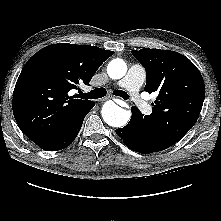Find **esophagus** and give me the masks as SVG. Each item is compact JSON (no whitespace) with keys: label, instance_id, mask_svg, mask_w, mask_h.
<instances>
[{"label":"esophagus","instance_id":"34e87169","mask_svg":"<svg viewBox=\"0 0 221 221\" xmlns=\"http://www.w3.org/2000/svg\"><path fill=\"white\" fill-rule=\"evenodd\" d=\"M110 97H104V98H102L101 99V101H105V100H107V99H109ZM116 100V102H118V103H122V101L121 100H119V99H115Z\"/></svg>","mask_w":221,"mask_h":221}]
</instances>
